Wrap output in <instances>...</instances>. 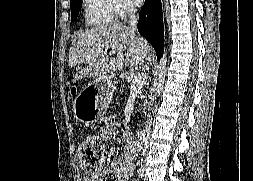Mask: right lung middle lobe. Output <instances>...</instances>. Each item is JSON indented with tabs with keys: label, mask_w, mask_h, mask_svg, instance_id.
Here are the masks:
<instances>
[{
	"label": "right lung middle lobe",
	"mask_w": 253,
	"mask_h": 181,
	"mask_svg": "<svg viewBox=\"0 0 253 181\" xmlns=\"http://www.w3.org/2000/svg\"><path fill=\"white\" fill-rule=\"evenodd\" d=\"M81 0H71V22H74L81 10Z\"/></svg>",
	"instance_id": "obj_1"
}]
</instances>
